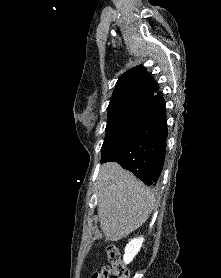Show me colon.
<instances>
[{"instance_id":"colon-1","label":"colon","mask_w":221,"mask_h":278,"mask_svg":"<svg viewBox=\"0 0 221 278\" xmlns=\"http://www.w3.org/2000/svg\"><path fill=\"white\" fill-rule=\"evenodd\" d=\"M107 256L110 265L95 272L91 278H129V272L123 264L117 247L110 245L107 248Z\"/></svg>"}]
</instances>
